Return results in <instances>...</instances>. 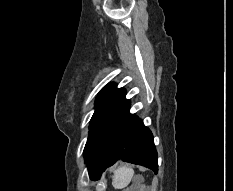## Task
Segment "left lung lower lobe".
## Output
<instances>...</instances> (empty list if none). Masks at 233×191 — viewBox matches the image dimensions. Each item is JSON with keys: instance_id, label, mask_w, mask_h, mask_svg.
I'll list each match as a JSON object with an SVG mask.
<instances>
[{"instance_id": "obj_1", "label": "left lung lower lobe", "mask_w": 233, "mask_h": 191, "mask_svg": "<svg viewBox=\"0 0 233 191\" xmlns=\"http://www.w3.org/2000/svg\"><path fill=\"white\" fill-rule=\"evenodd\" d=\"M129 109L128 101L95 142L86 159L91 179H99L117 160L145 166L157 174L158 156L153 135Z\"/></svg>"}]
</instances>
